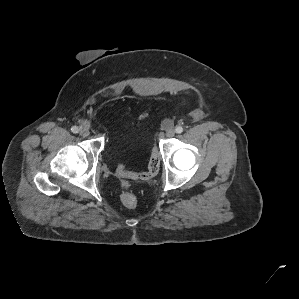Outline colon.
<instances>
[{"instance_id":"colon-1","label":"colon","mask_w":299,"mask_h":299,"mask_svg":"<svg viewBox=\"0 0 299 299\" xmlns=\"http://www.w3.org/2000/svg\"><path fill=\"white\" fill-rule=\"evenodd\" d=\"M160 163V153L157 150H153L150 155L146 171L134 172L127 170L124 167H120L119 173L124 179L147 180L158 174L160 170ZM122 186L123 191L121 193V200L123 204L129 208L135 207L137 204V198L132 192L128 191V183L124 181Z\"/></svg>"}]
</instances>
